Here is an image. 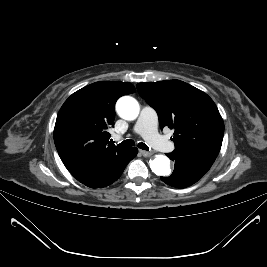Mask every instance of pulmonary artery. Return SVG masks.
<instances>
[{
    "label": "pulmonary artery",
    "instance_id": "e3ab8cb5",
    "mask_svg": "<svg viewBox=\"0 0 267 267\" xmlns=\"http://www.w3.org/2000/svg\"><path fill=\"white\" fill-rule=\"evenodd\" d=\"M157 127L158 115L156 111L149 106H144L134 125V132L142 135L154 148L164 152L172 151L174 145L158 133ZM116 138L118 139L119 136Z\"/></svg>",
    "mask_w": 267,
    "mask_h": 267
}]
</instances>
